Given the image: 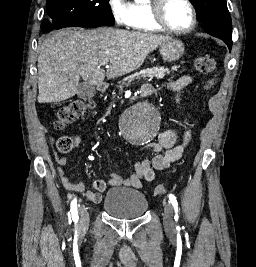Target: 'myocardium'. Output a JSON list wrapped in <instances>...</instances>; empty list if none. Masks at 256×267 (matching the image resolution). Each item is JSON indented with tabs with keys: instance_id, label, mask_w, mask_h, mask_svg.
<instances>
[{
	"instance_id": "f54148a6",
	"label": "myocardium",
	"mask_w": 256,
	"mask_h": 267,
	"mask_svg": "<svg viewBox=\"0 0 256 267\" xmlns=\"http://www.w3.org/2000/svg\"><path fill=\"white\" fill-rule=\"evenodd\" d=\"M170 1V0H154V7H153V11L151 13V22H146L148 25H153L156 28L160 29L161 31L170 33V34H174V35H186L189 34L190 32H192L194 30V28L196 27L197 24V14L195 11V8L193 7V5L190 3L189 0H179L183 3H185L190 11H191V16H192V21H191V25L185 29V30H176L174 28H172L165 20L164 16H163V12H164V8H165V4ZM145 31H151V27L149 30H145Z\"/></svg>"
}]
</instances>
